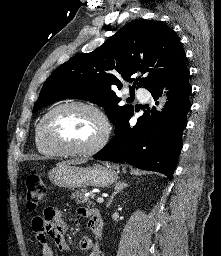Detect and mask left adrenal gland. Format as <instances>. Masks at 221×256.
<instances>
[{"instance_id": "a2214340", "label": "left adrenal gland", "mask_w": 221, "mask_h": 256, "mask_svg": "<svg viewBox=\"0 0 221 256\" xmlns=\"http://www.w3.org/2000/svg\"><path fill=\"white\" fill-rule=\"evenodd\" d=\"M127 187H128V184H127V183L121 182V181L117 182V183L115 184V191L112 193V195H111V197H110V199H109V201H108L106 207H107V208L110 207V205H111L112 202H113L114 197H115L117 194H119L120 192H123V190H124L125 188H127Z\"/></svg>"}]
</instances>
